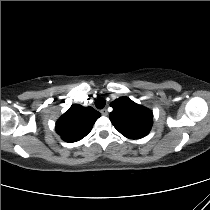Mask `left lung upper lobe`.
I'll use <instances>...</instances> for the list:
<instances>
[{
    "label": "left lung upper lobe",
    "mask_w": 210,
    "mask_h": 210,
    "mask_svg": "<svg viewBox=\"0 0 210 210\" xmlns=\"http://www.w3.org/2000/svg\"><path fill=\"white\" fill-rule=\"evenodd\" d=\"M113 111L110 120L117 131L130 139L146 136L153 124V114L127 97H121L111 103Z\"/></svg>",
    "instance_id": "1"
}]
</instances>
